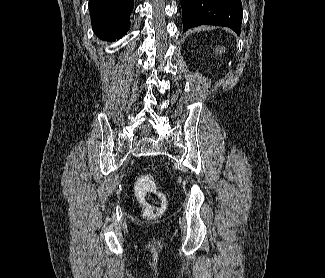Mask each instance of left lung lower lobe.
<instances>
[{"label":"left lung lower lobe","mask_w":325,"mask_h":278,"mask_svg":"<svg viewBox=\"0 0 325 278\" xmlns=\"http://www.w3.org/2000/svg\"><path fill=\"white\" fill-rule=\"evenodd\" d=\"M183 32L198 25H218L241 31V0H182Z\"/></svg>","instance_id":"left-lung-lower-lobe-1"}]
</instances>
